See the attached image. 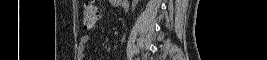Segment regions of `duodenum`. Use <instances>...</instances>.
Segmentation results:
<instances>
[{
  "label": "duodenum",
  "mask_w": 267,
  "mask_h": 60,
  "mask_svg": "<svg viewBox=\"0 0 267 60\" xmlns=\"http://www.w3.org/2000/svg\"><path fill=\"white\" fill-rule=\"evenodd\" d=\"M127 1L124 0H115L113 1L114 4H117L118 6H123L124 3H126Z\"/></svg>",
  "instance_id": "410a0bca"
}]
</instances>
